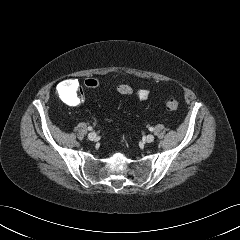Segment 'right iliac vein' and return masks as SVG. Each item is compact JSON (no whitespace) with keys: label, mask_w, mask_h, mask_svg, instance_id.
<instances>
[{"label":"right iliac vein","mask_w":240,"mask_h":240,"mask_svg":"<svg viewBox=\"0 0 240 240\" xmlns=\"http://www.w3.org/2000/svg\"><path fill=\"white\" fill-rule=\"evenodd\" d=\"M96 138H97V135H96L95 132H91V133L88 134V139L90 141H94Z\"/></svg>","instance_id":"1"}]
</instances>
